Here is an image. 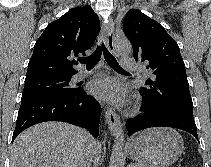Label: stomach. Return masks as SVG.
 Returning a JSON list of instances; mask_svg holds the SVG:
<instances>
[{
  "label": "stomach",
  "instance_id": "stomach-1",
  "mask_svg": "<svg viewBox=\"0 0 211 167\" xmlns=\"http://www.w3.org/2000/svg\"><path fill=\"white\" fill-rule=\"evenodd\" d=\"M181 135L171 128H150L131 139L126 146L129 158L143 167H168L183 152Z\"/></svg>",
  "mask_w": 211,
  "mask_h": 167
}]
</instances>
